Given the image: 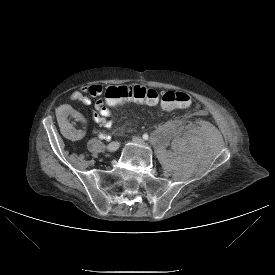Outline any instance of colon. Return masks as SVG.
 Segmentation results:
<instances>
[{
	"mask_svg": "<svg viewBox=\"0 0 275 275\" xmlns=\"http://www.w3.org/2000/svg\"><path fill=\"white\" fill-rule=\"evenodd\" d=\"M132 101L147 105H154L160 101L161 107L165 111L174 109H185L191 103L190 95L182 91H167L159 94L156 90L140 85L118 86L107 89L103 107L107 111H114L118 103Z\"/></svg>",
	"mask_w": 275,
	"mask_h": 275,
	"instance_id": "obj_1",
	"label": "colon"
}]
</instances>
